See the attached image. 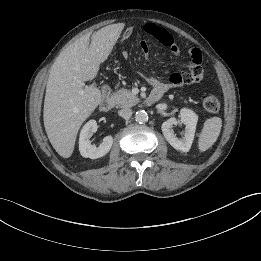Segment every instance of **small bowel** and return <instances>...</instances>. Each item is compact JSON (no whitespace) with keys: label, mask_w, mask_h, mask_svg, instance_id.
I'll return each mask as SVG.
<instances>
[{"label":"small bowel","mask_w":261,"mask_h":261,"mask_svg":"<svg viewBox=\"0 0 261 261\" xmlns=\"http://www.w3.org/2000/svg\"><path fill=\"white\" fill-rule=\"evenodd\" d=\"M143 29L145 33L154 37L163 45L167 46L174 55H178L180 53L179 47L177 46L175 39L164 28H161L153 23H147L144 25ZM140 47L143 53L146 56H148L149 55L148 43L145 40H141ZM189 55L191 58V62L187 72L171 74L169 77V81L167 83L161 82L155 77H150L148 81L153 86V91H157L160 92L161 94H164L165 92H167L172 88H179V87H183L187 83H194L200 81L203 77L201 53L198 49L192 48L189 51Z\"/></svg>","instance_id":"1"}]
</instances>
